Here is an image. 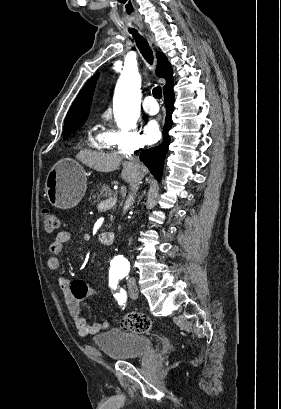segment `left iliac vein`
Listing matches in <instances>:
<instances>
[{
  "label": "left iliac vein",
  "mask_w": 281,
  "mask_h": 409,
  "mask_svg": "<svg viewBox=\"0 0 281 409\" xmlns=\"http://www.w3.org/2000/svg\"><path fill=\"white\" fill-rule=\"evenodd\" d=\"M128 289H129V295L132 299H137L138 298V288L136 286V284L134 283H129L128 285Z\"/></svg>",
  "instance_id": "obj_1"
}]
</instances>
